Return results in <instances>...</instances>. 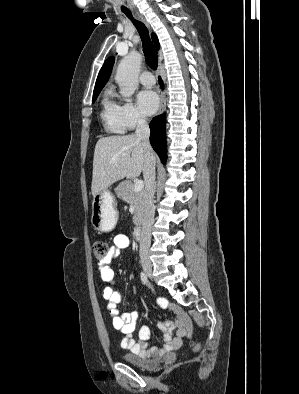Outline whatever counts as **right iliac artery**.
<instances>
[{
    "instance_id": "82829eb1",
    "label": "right iliac artery",
    "mask_w": 299,
    "mask_h": 394,
    "mask_svg": "<svg viewBox=\"0 0 299 394\" xmlns=\"http://www.w3.org/2000/svg\"><path fill=\"white\" fill-rule=\"evenodd\" d=\"M140 277L143 283H147V275L144 272H141Z\"/></svg>"
}]
</instances>
